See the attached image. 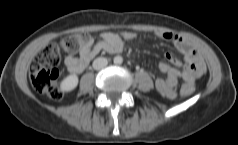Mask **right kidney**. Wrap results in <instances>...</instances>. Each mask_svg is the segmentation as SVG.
Returning <instances> with one entry per match:
<instances>
[{"instance_id": "right-kidney-1", "label": "right kidney", "mask_w": 238, "mask_h": 145, "mask_svg": "<svg viewBox=\"0 0 238 145\" xmlns=\"http://www.w3.org/2000/svg\"><path fill=\"white\" fill-rule=\"evenodd\" d=\"M78 82V76L76 74H70L62 80L60 89L62 92H70L77 87Z\"/></svg>"}]
</instances>
